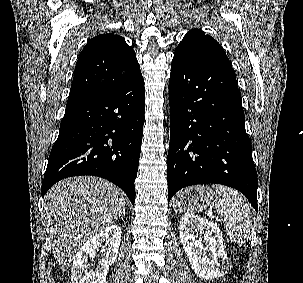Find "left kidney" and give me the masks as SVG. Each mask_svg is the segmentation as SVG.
I'll use <instances>...</instances> for the list:
<instances>
[{
    "label": "left kidney",
    "mask_w": 303,
    "mask_h": 283,
    "mask_svg": "<svg viewBox=\"0 0 303 283\" xmlns=\"http://www.w3.org/2000/svg\"><path fill=\"white\" fill-rule=\"evenodd\" d=\"M180 240L191 268L202 279H216L227 271L229 259L224 249L222 232L213 222L185 214L179 226ZM203 236L206 245L202 243Z\"/></svg>",
    "instance_id": "left-kidney-1"
}]
</instances>
